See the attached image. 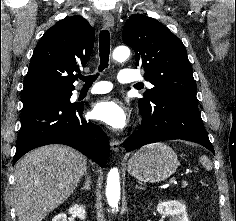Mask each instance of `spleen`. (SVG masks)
Listing matches in <instances>:
<instances>
[{"label":"spleen","instance_id":"1","mask_svg":"<svg viewBox=\"0 0 236 221\" xmlns=\"http://www.w3.org/2000/svg\"><path fill=\"white\" fill-rule=\"evenodd\" d=\"M200 162L203 163V165L206 167L207 170L212 169V164H211L210 160L205 155L200 157Z\"/></svg>","mask_w":236,"mask_h":221}]
</instances>
